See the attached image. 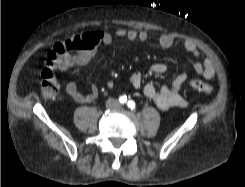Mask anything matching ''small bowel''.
<instances>
[{"instance_id": "c3829d8e", "label": "small bowel", "mask_w": 245, "mask_h": 187, "mask_svg": "<svg viewBox=\"0 0 245 187\" xmlns=\"http://www.w3.org/2000/svg\"><path fill=\"white\" fill-rule=\"evenodd\" d=\"M114 39H127L129 41L143 43L149 39V34L144 30H127L123 28H118L111 33L102 30H93L86 35L88 48L67 55L64 59L59 60L57 68L64 71L75 65L83 66L88 64L94 57L98 45H110ZM176 41H178V38L172 34H162L159 38V44L163 48L172 47ZM184 47L196 59L193 65V71L206 79L213 78L215 75V67L212 60L210 58L202 60L201 52L192 40H184ZM47 58H51V51H49ZM150 70L153 74L159 75L165 73L168 67L164 63H156L151 66ZM188 76L186 72L180 73L173 79L170 85L158 86L153 82L143 85L142 75L139 72H134L129 77V83L134 88L143 86V93L148 99L159 109L168 110L172 107H185L188 105V101L179 93L186 83ZM112 85L113 84L109 82L107 87L111 88ZM65 91L68 96L78 103H90L94 101L99 94L96 86H92L89 93L81 92L74 81L67 83Z\"/></svg>"}]
</instances>
